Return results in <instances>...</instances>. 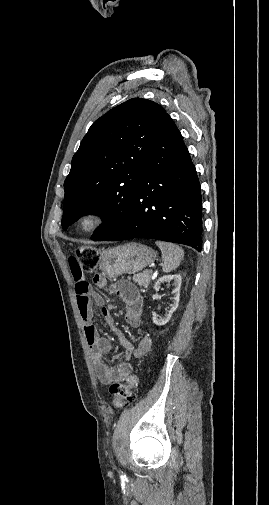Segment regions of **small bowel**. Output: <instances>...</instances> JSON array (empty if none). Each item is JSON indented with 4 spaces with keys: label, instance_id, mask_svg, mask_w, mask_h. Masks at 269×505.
<instances>
[{
    "label": "small bowel",
    "instance_id": "obj_1",
    "mask_svg": "<svg viewBox=\"0 0 269 505\" xmlns=\"http://www.w3.org/2000/svg\"><path fill=\"white\" fill-rule=\"evenodd\" d=\"M67 268L71 270L75 282V293L77 304L85 337L89 349L94 359V366L98 380L105 385L119 383L124 380L132 371V366L129 363L131 357L141 358L152 346V340L148 336H144L137 347H134L125 336L115 328L113 316L110 310L104 306V299L98 295H91L89 284L86 279H89L91 274H83L81 271V261L79 259H69ZM95 283L99 287L106 286V281L102 276H96ZM114 292L125 303L124 318L127 324L131 327L138 328L141 325V316L143 301L137 289L130 283L122 281L118 282L113 287ZM101 307V314L108 326L116 333L125 352L121 360L115 366H108L104 362V355L110 350V342L98 335L94 325V314L92 306Z\"/></svg>",
    "mask_w": 269,
    "mask_h": 505
}]
</instances>
